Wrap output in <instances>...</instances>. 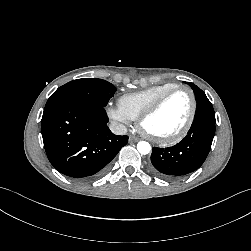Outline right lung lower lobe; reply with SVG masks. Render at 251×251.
Masks as SVG:
<instances>
[{"instance_id":"right-lung-lower-lobe-1","label":"right lung lower lobe","mask_w":251,"mask_h":251,"mask_svg":"<svg viewBox=\"0 0 251 251\" xmlns=\"http://www.w3.org/2000/svg\"><path fill=\"white\" fill-rule=\"evenodd\" d=\"M103 106L83 101H60L45 106L41 130L50 163L79 181L103 175L109 162L128 142L107 127Z\"/></svg>"}]
</instances>
